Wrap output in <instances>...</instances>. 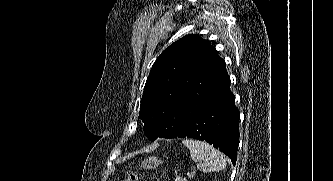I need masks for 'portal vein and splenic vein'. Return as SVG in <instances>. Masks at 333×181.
Segmentation results:
<instances>
[{"label": "portal vein and splenic vein", "instance_id": "18ae733b", "mask_svg": "<svg viewBox=\"0 0 333 181\" xmlns=\"http://www.w3.org/2000/svg\"><path fill=\"white\" fill-rule=\"evenodd\" d=\"M194 174H195V172H190V173H188V177L191 178L194 176Z\"/></svg>", "mask_w": 333, "mask_h": 181}]
</instances>
